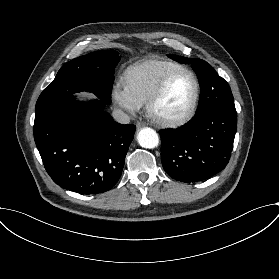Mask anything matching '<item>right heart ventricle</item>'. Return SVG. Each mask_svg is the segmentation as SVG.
<instances>
[{
	"mask_svg": "<svg viewBox=\"0 0 279 279\" xmlns=\"http://www.w3.org/2000/svg\"><path fill=\"white\" fill-rule=\"evenodd\" d=\"M186 68L169 59H148L131 66L125 74L126 86L144 101H148L162 79L171 72Z\"/></svg>",
	"mask_w": 279,
	"mask_h": 279,
	"instance_id": "1",
	"label": "right heart ventricle"
}]
</instances>
